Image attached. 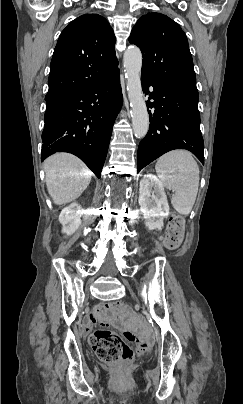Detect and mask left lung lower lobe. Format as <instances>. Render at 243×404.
<instances>
[{"mask_svg":"<svg viewBox=\"0 0 243 404\" xmlns=\"http://www.w3.org/2000/svg\"><path fill=\"white\" fill-rule=\"evenodd\" d=\"M142 89L149 94V131L138 147L137 172L162 154L174 149L191 151L204 164L196 87L162 82L141 76ZM153 91L149 92L148 87ZM153 99L154 102L149 100Z\"/></svg>","mask_w":243,"mask_h":404,"instance_id":"1","label":"left lung lower lobe"}]
</instances>
